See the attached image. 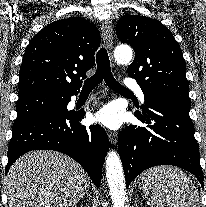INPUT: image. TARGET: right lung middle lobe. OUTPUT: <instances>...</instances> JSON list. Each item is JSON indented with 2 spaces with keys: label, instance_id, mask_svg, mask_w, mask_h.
<instances>
[{
  "label": "right lung middle lobe",
  "instance_id": "1",
  "mask_svg": "<svg viewBox=\"0 0 206 207\" xmlns=\"http://www.w3.org/2000/svg\"><path fill=\"white\" fill-rule=\"evenodd\" d=\"M68 96L58 94H34L18 99L17 120L39 114L67 111Z\"/></svg>",
  "mask_w": 206,
  "mask_h": 207
}]
</instances>
